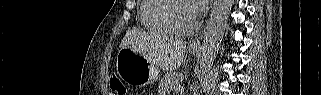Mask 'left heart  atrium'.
<instances>
[{"label":"left heart atrium","mask_w":321,"mask_h":95,"mask_svg":"<svg viewBox=\"0 0 321 95\" xmlns=\"http://www.w3.org/2000/svg\"><path fill=\"white\" fill-rule=\"evenodd\" d=\"M190 6L191 13L196 17L203 13L209 6V0H191Z\"/></svg>","instance_id":"39dd6f15"}]
</instances>
